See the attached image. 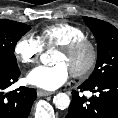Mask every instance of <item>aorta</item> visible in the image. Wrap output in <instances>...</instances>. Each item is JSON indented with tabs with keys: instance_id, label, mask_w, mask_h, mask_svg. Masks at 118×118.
I'll list each match as a JSON object with an SVG mask.
<instances>
[{
	"instance_id": "aorta-1",
	"label": "aorta",
	"mask_w": 118,
	"mask_h": 118,
	"mask_svg": "<svg viewBox=\"0 0 118 118\" xmlns=\"http://www.w3.org/2000/svg\"><path fill=\"white\" fill-rule=\"evenodd\" d=\"M48 54H43L41 55V61L42 63L46 64L48 62ZM54 105L56 108L64 110L69 107L70 105V98L66 93H58L57 95L54 96L53 99Z\"/></svg>"
}]
</instances>
